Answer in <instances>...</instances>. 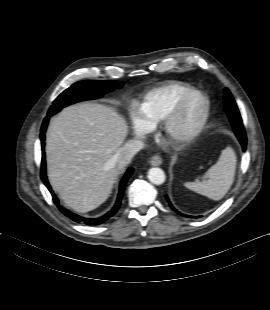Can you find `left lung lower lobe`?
<instances>
[{"instance_id": "obj_1", "label": "left lung lower lobe", "mask_w": 270, "mask_h": 310, "mask_svg": "<svg viewBox=\"0 0 270 310\" xmlns=\"http://www.w3.org/2000/svg\"><path fill=\"white\" fill-rule=\"evenodd\" d=\"M236 136L238 137V139H239V141H240V143H241V145H242V147H243V150L245 151V149H246V135H245V133H240V134H238V135H236ZM165 198H166V200H167L169 206H170L175 212H177L178 214H180V215H182V216H184V217H193V216H189V215L182 214V213H180L179 211H177V210L174 208V206L171 204V202H170V200H169V197H168L167 195H165Z\"/></svg>"}]
</instances>
